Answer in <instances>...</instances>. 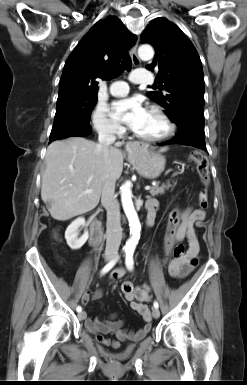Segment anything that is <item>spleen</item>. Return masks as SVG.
I'll list each match as a JSON object with an SVG mask.
<instances>
[{"mask_svg":"<svg viewBox=\"0 0 247 385\" xmlns=\"http://www.w3.org/2000/svg\"><path fill=\"white\" fill-rule=\"evenodd\" d=\"M168 150V147H162L161 149H160V152H165V151H167Z\"/></svg>","mask_w":247,"mask_h":385,"instance_id":"spleen-1","label":"spleen"}]
</instances>
